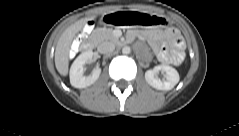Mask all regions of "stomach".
I'll list each match as a JSON object with an SVG mask.
<instances>
[{
    "instance_id": "1",
    "label": "stomach",
    "mask_w": 239,
    "mask_h": 136,
    "mask_svg": "<svg viewBox=\"0 0 239 136\" xmlns=\"http://www.w3.org/2000/svg\"><path fill=\"white\" fill-rule=\"evenodd\" d=\"M100 24L121 28L155 30L157 27L169 28L172 20L165 17L150 16L141 11L107 10L105 16L100 17Z\"/></svg>"
}]
</instances>
